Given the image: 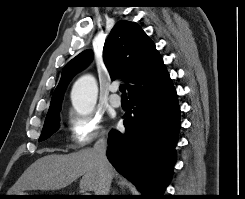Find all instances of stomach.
<instances>
[{
    "mask_svg": "<svg viewBox=\"0 0 245 199\" xmlns=\"http://www.w3.org/2000/svg\"><path fill=\"white\" fill-rule=\"evenodd\" d=\"M12 195H32V194H28V193H20V194H12ZM25 197L27 196H16V199H26Z\"/></svg>",
    "mask_w": 245,
    "mask_h": 199,
    "instance_id": "0dacf381",
    "label": "stomach"
}]
</instances>
